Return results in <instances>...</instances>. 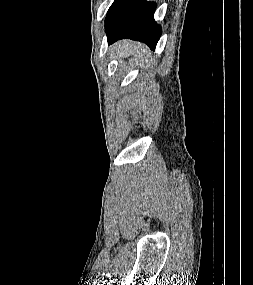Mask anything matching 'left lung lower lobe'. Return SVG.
<instances>
[{
    "label": "left lung lower lobe",
    "mask_w": 253,
    "mask_h": 285,
    "mask_svg": "<svg viewBox=\"0 0 253 285\" xmlns=\"http://www.w3.org/2000/svg\"><path fill=\"white\" fill-rule=\"evenodd\" d=\"M155 9V3L144 0H115L105 20L108 44L128 38L154 50L161 36V26L154 20Z\"/></svg>",
    "instance_id": "obj_1"
}]
</instances>
